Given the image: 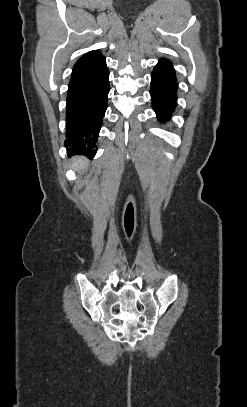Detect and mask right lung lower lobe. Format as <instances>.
<instances>
[{"label": "right lung lower lobe", "instance_id": "1", "mask_svg": "<svg viewBox=\"0 0 247 407\" xmlns=\"http://www.w3.org/2000/svg\"><path fill=\"white\" fill-rule=\"evenodd\" d=\"M109 71L105 57L73 71L67 92L65 146L70 154L93 158L107 109Z\"/></svg>", "mask_w": 247, "mask_h": 407}]
</instances>
